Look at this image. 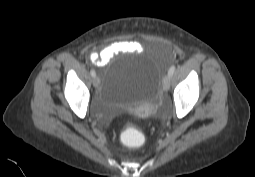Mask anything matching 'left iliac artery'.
I'll return each mask as SVG.
<instances>
[{
    "instance_id": "obj_1",
    "label": "left iliac artery",
    "mask_w": 255,
    "mask_h": 177,
    "mask_svg": "<svg viewBox=\"0 0 255 177\" xmlns=\"http://www.w3.org/2000/svg\"><path fill=\"white\" fill-rule=\"evenodd\" d=\"M175 66H171L170 67V69H169V71H168V74L170 75V77L174 74V72H175Z\"/></svg>"
}]
</instances>
